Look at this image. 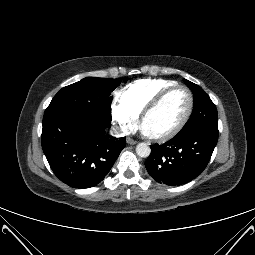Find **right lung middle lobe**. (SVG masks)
Here are the masks:
<instances>
[{"instance_id":"obj_1","label":"right lung middle lobe","mask_w":255,"mask_h":255,"mask_svg":"<svg viewBox=\"0 0 255 255\" xmlns=\"http://www.w3.org/2000/svg\"><path fill=\"white\" fill-rule=\"evenodd\" d=\"M120 82L111 78L86 77L62 88L52 99L44 116L58 112L87 115L103 125L111 123L112 91Z\"/></svg>"}]
</instances>
